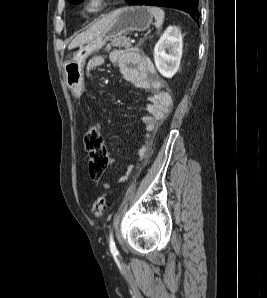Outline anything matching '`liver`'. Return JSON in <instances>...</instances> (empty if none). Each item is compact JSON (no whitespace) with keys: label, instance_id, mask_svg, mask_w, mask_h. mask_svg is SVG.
<instances>
[{"label":"liver","instance_id":"6515ba94","mask_svg":"<svg viewBox=\"0 0 267 298\" xmlns=\"http://www.w3.org/2000/svg\"><path fill=\"white\" fill-rule=\"evenodd\" d=\"M115 17L114 12L102 17L101 19L97 20L91 27H89L86 31L78 34L69 44L68 49L71 50L78 46H82L95 37L99 36L103 32H105L108 27L110 26L111 22Z\"/></svg>","mask_w":267,"mask_h":298}]
</instances>
